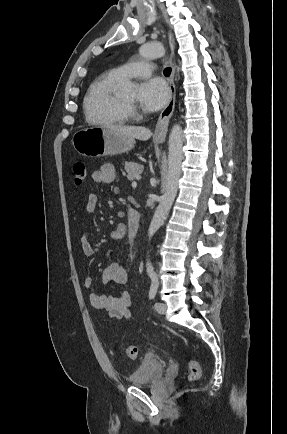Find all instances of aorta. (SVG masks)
Segmentation results:
<instances>
[{"label": "aorta", "instance_id": "aorta-1", "mask_svg": "<svg viewBox=\"0 0 287 434\" xmlns=\"http://www.w3.org/2000/svg\"><path fill=\"white\" fill-rule=\"evenodd\" d=\"M139 54L146 59H154L164 56L165 48L161 43H147L139 48ZM132 82L126 84V90L130 91L134 88ZM169 152H168V171L165 192L162 195L159 205L155 211L153 219L148 229L149 239L156 233L162 226L172 204L176 198L179 179L181 174L182 164V146H183V132L179 124H175L169 135ZM147 272H153V266L150 261L146 263Z\"/></svg>", "mask_w": 287, "mask_h": 434}]
</instances>
